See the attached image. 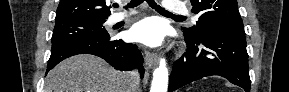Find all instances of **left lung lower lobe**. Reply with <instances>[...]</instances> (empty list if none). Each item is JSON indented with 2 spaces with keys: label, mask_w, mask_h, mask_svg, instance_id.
Here are the masks:
<instances>
[{
  "label": "left lung lower lobe",
  "mask_w": 289,
  "mask_h": 92,
  "mask_svg": "<svg viewBox=\"0 0 289 92\" xmlns=\"http://www.w3.org/2000/svg\"><path fill=\"white\" fill-rule=\"evenodd\" d=\"M187 51L174 62L169 92L205 76L220 75L250 92L248 54L244 33L209 30L199 40L185 37Z\"/></svg>",
  "instance_id": "left-lung-lower-lobe-1"
}]
</instances>
